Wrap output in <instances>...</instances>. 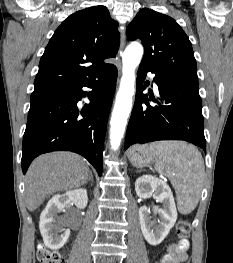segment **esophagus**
Instances as JSON below:
<instances>
[{
	"mask_svg": "<svg viewBox=\"0 0 233 263\" xmlns=\"http://www.w3.org/2000/svg\"><path fill=\"white\" fill-rule=\"evenodd\" d=\"M125 31L123 30L121 32V38H120V48H119V55L122 54L123 50H124V47H125ZM118 71H119V75H120V71H121V66L120 64L118 65Z\"/></svg>",
	"mask_w": 233,
	"mask_h": 263,
	"instance_id": "esophagus-1",
	"label": "esophagus"
}]
</instances>
